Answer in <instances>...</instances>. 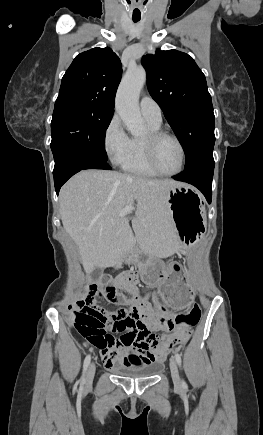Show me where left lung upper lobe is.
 Masks as SVG:
<instances>
[{
  "mask_svg": "<svg viewBox=\"0 0 263 435\" xmlns=\"http://www.w3.org/2000/svg\"><path fill=\"white\" fill-rule=\"evenodd\" d=\"M147 86L181 142L189 166L213 152L214 113L204 74L186 53L160 51L142 58Z\"/></svg>",
  "mask_w": 263,
  "mask_h": 435,
  "instance_id": "5c2ea615",
  "label": "left lung upper lobe"
}]
</instances>
